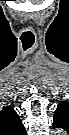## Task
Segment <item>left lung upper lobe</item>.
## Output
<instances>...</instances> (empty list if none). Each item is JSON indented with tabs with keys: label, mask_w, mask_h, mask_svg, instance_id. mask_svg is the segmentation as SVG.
I'll use <instances>...</instances> for the list:
<instances>
[{
	"label": "left lung upper lobe",
	"mask_w": 69,
	"mask_h": 135,
	"mask_svg": "<svg viewBox=\"0 0 69 135\" xmlns=\"http://www.w3.org/2000/svg\"><path fill=\"white\" fill-rule=\"evenodd\" d=\"M66 104L67 103H65V102H62L59 104L58 108L55 111V118L58 117V115L61 111H63L62 108H64L66 106Z\"/></svg>",
	"instance_id": "obj_1"
}]
</instances>
